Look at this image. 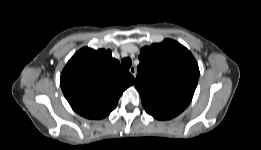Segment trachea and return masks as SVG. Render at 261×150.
<instances>
[{
    "instance_id": "obj_1",
    "label": "trachea",
    "mask_w": 261,
    "mask_h": 150,
    "mask_svg": "<svg viewBox=\"0 0 261 150\" xmlns=\"http://www.w3.org/2000/svg\"><path fill=\"white\" fill-rule=\"evenodd\" d=\"M121 64L124 68L128 69L131 67L132 65V60L130 58H124L122 61H121Z\"/></svg>"
}]
</instances>
